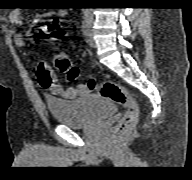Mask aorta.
<instances>
[{"instance_id": "762f6f07", "label": "aorta", "mask_w": 192, "mask_h": 180, "mask_svg": "<svg viewBox=\"0 0 192 180\" xmlns=\"http://www.w3.org/2000/svg\"><path fill=\"white\" fill-rule=\"evenodd\" d=\"M84 10H85V12H86L87 15H90V14H91V9H90V8H85Z\"/></svg>"}]
</instances>
